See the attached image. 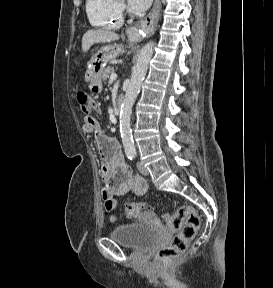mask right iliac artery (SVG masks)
<instances>
[{
  "label": "right iliac artery",
  "instance_id": "right-iliac-artery-1",
  "mask_svg": "<svg viewBox=\"0 0 273 288\" xmlns=\"http://www.w3.org/2000/svg\"><path fill=\"white\" fill-rule=\"evenodd\" d=\"M134 157H135V155H134V154H129V155H128V158H129L130 160H133V159H134Z\"/></svg>",
  "mask_w": 273,
  "mask_h": 288
}]
</instances>
